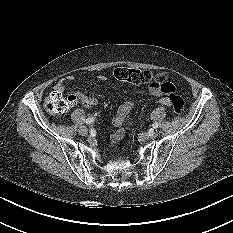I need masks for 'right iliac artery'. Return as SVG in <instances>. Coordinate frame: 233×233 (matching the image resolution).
Instances as JSON below:
<instances>
[{
  "instance_id": "obj_1",
  "label": "right iliac artery",
  "mask_w": 233,
  "mask_h": 233,
  "mask_svg": "<svg viewBox=\"0 0 233 233\" xmlns=\"http://www.w3.org/2000/svg\"><path fill=\"white\" fill-rule=\"evenodd\" d=\"M86 124H91V123H93L94 122V119L93 118H91V117H89V118H87L86 119Z\"/></svg>"
}]
</instances>
